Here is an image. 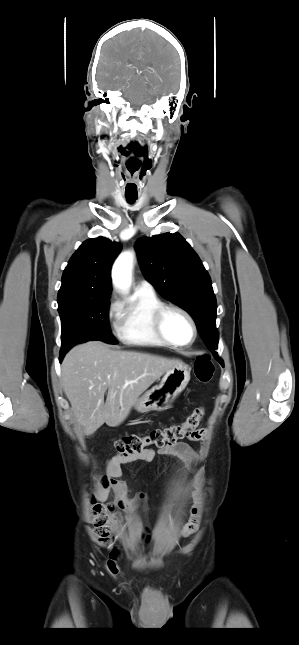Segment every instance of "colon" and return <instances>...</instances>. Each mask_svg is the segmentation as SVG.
<instances>
[{
	"instance_id": "1",
	"label": "colon",
	"mask_w": 299,
	"mask_h": 645,
	"mask_svg": "<svg viewBox=\"0 0 299 645\" xmlns=\"http://www.w3.org/2000/svg\"><path fill=\"white\" fill-rule=\"evenodd\" d=\"M214 366L210 357L200 355L194 363V374L201 383L212 379ZM204 417V408H194L184 419L162 428L151 430L147 435H129L120 438L115 443L117 457L127 459L139 454L148 447L164 448L172 445L196 429ZM94 531L99 545L106 546L110 542V527L117 519L112 504L95 503L93 506Z\"/></svg>"
}]
</instances>
